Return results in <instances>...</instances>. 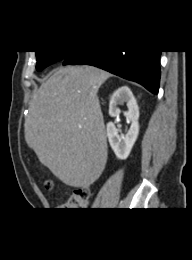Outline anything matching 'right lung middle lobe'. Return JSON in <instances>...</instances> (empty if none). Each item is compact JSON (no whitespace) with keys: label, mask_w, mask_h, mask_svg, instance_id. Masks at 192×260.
Wrapping results in <instances>:
<instances>
[{"label":"right lung middle lobe","mask_w":192,"mask_h":260,"mask_svg":"<svg viewBox=\"0 0 192 260\" xmlns=\"http://www.w3.org/2000/svg\"><path fill=\"white\" fill-rule=\"evenodd\" d=\"M38 71L43 70L45 67L52 63L64 60L69 54V51H35Z\"/></svg>","instance_id":"dd1d6c3e"}]
</instances>
